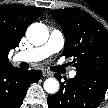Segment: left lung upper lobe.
<instances>
[{
	"label": "left lung upper lobe",
	"instance_id": "obj_1",
	"mask_svg": "<svg viewBox=\"0 0 108 108\" xmlns=\"http://www.w3.org/2000/svg\"><path fill=\"white\" fill-rule=\"evenodd\" d=\"M65 36L63 54L74 57L77 73L108 71V31L81 9L52 11Z\"/></svg>",
	"mask_w": 108,
	"mask_h": 108
}]
</instances>
